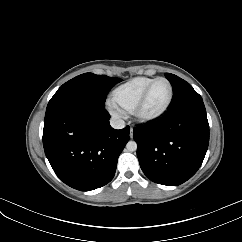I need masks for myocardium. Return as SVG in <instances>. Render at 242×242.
Wrapping results in <instances>:
<instances>
[{"label": "myocardium", "instance_id": "myocardium-1", "mask_svg": "<svg viewBox=\"0 0 242 242\" xmlns=\"http://www.w3.org/2000/svg\"><path fill=\"white\" fill-rule=\"evenodd\" d=\"M165 81L170 89V93H169V98L166 102V104L164 105V107L158 111L155 114L152 115H144L142 114V108L145 104V101L147 99V96L151 90V88L153 87V85L157 82V81ZM173 97H174V88L173 85L171 83V81L169 79H167L166 77H157L154 78L144 89V91L142 92V94L140 95L139 99L137 100V102L135 103L133 109H132V116L134 117L135 120H137L138 122H142V123H149V122H154L158 119H160L169 109V107L172 104L173 101Z\"/></svg>", "mask_w": 242, "mask_h": 242}]
</instances>
